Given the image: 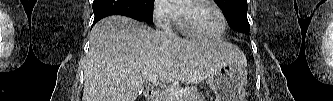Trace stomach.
Segmentation results:
<instances>
[{
  "instance_id": "1",
  "label": "stomach",
  "mask_w": 333,
  "mask_h": 101,
  "mask_svg": "<svg viewBox=\"0 0 333 101\" xmlns=\"http://www.w3.org/2000/svg\"><path fill=\"white\" fill-rule=\"evenodd\" d=\"M234 54L231 61L222 64L208 77L207 82L217 101H245L246 59L238 48Z\"/></svg>"
}]
</instances>
